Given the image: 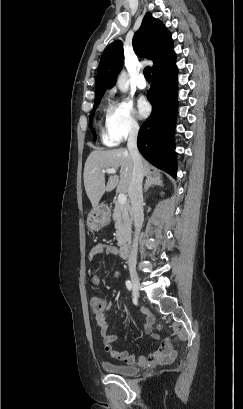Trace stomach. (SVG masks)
<instances>
[{
  "instance_id": "1",
  "label": "stomach",
  "mask_w": 243,
  "mask_h": 409,
  "mask_svg": "<svg viewBox=\"0 0 243 409\" xmlns=\"http://www.w3.org/2000/svg\"><path fill=\"white\" fill-rule=\"evenodd\" d=\"M110 221V211L104 204L93 208L87 217V226L92 231H99Z\"/></svg>"
}]
</instances>
